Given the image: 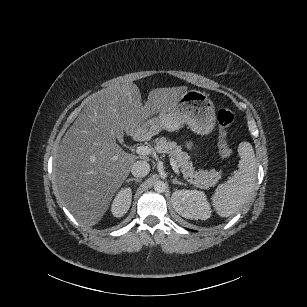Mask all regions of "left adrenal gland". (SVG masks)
Segmentation results:
<instances>
[{
  "mask_svg": "<svg viewBox=\"0 0 307 307\" xmlns=\"http://www.w3.org/2000/svg\"><path fill=\"white\" fill-rule=\"evenodd\" d=\"M172 182H173L174 184H181V185L186 186V183L177 180V178L172 179Z\"/></svg>",
  "mask_w": 307,
  "mask_h": 307,
  "instance_id": "a2214340",
  "label": "left adrenal gland"
}]
</instances>
